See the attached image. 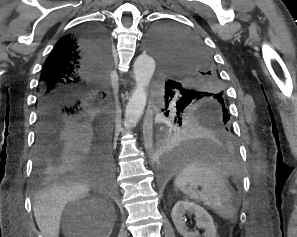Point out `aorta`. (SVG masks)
Returning a JSON list of instances; mask_svg holds the SVG:
<instances>
[{
    "mask_svg": "<svg viewBox=\"0 0 297 237\" xmlns=\"http://www.w3.org/2000/svg\"><path fill=\"white\" fill-rule=\"evenodd\" d=\"M148 46L154 49L149 40ZM155 71V61L147 53L139 55L134 62L135 89L125 111V124L135 126L141 118L147 98V87Z\"/></svg>",
    "mask_w": 297,
    "mask_h": 237,
    "instance_id": "obj_1",
    "label": "aorta"
}]
</instances>
